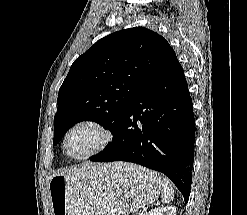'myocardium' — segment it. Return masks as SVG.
<instances>
[{
	"instance_id": "obj_1",
	"label": "myocardium",
	"mask_w": 247,
	"mask_h": 215,
	"mask_svg": "<svg viewBox=\"0 0 247 215\" xmlns=\"http://www.w3.org/2000/svg\"><path fill=\"white\" fill-rule=\"evenodd\" d=\"M81 126H89V127L94 128L95 130H97L99 135H100V140H99L98 144L95 146V148L93 150H91L89 153H87L83 156L77 157V156H73L72 154H70V152L68 151V145L67 144H68V138L72 134V132ZM111 141H112V133L107 128L106 125H104L99 120H96L93 118H83V119H80V120L74 122L68 128V130L66 131L64 138H63V148H64L66 155L69 158H71L73 160L81 161V160H86V159H89V158H92V157L98 155L99 153H101L104 149H106L109 146Z\"/></svg>"
}]
</instances>
